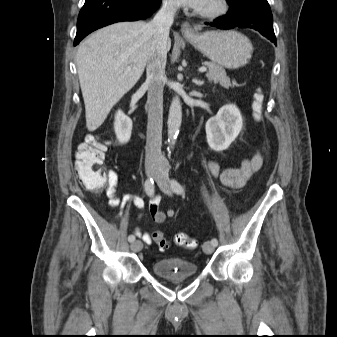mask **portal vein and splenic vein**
Returning <instances> with one entry per match:
<instances>
[{"instance_id":"18ae733b","label":"portal vein and splenic vein","mask_w":337,"mask_h":337,"mask_svg":"<svg viewBox=\"0 0 337 337\" xmlns=\"http://www.w3.org/2000/svg\"><path fill=\"white\" fill-rule=\"evenodd\" d=\"M128 69H130V68H128ZM199 71H200L201 73L206 72V71H207V68H206V67H200V68H199Z\"/></svg>"}]
</instances>
